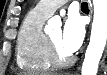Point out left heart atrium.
I'll list each match as a JSON object with an SVG mask.
<instances>
[{
	"mask_svg": "<svg viewBox=\"0 0 107 75\" xmlns=\"http://www.w3.org/2000/svg\"><path fill=\"white\" fill-rule=\"evenodd\" d=\"M84 36L85 28L82 19L73 12L69 13L61 35L62 47L67 53H74L80 48Z\"/></svg>",
	"mask_w": 107,
	"mask_h": 75,
	"instance_id": "1",
	"label": "left heart atrium"
}]
</instances>
